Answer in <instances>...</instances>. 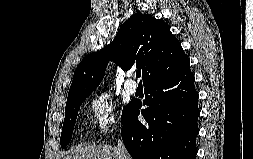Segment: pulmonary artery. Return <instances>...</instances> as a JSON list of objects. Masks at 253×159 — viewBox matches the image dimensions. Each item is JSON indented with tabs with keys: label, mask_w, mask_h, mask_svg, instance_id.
<instances>
[{
	"label": "pulmonary artery",
	"mask_w": 253,
	"mask_h": 159,
	"mask_svg": "<svg viewBox=\"0 0 253 159\" xmlns=\"http://www.w3.org/2000/svg\"><path fill=\"white\" fill-rule=\"evenodd\" d=\"M127 76L129 80L125 83V90L128 94H134L137 91V84L131 80L134 77V73L129 71L127 72Z\"/></svg>",
	"instance_id": "1"
}]
</instances>
